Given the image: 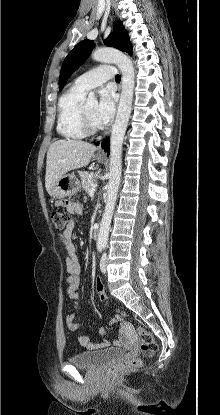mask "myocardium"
<instances>
[{"label": "myocardium", "mask_w": 220, "mask_h": 415, "mask_svg": "<svg viewBox=\"0 0 220 415\" xmlns=\"http://www.w3.org/2000/svg\"><path fill=\"white\" fill-rule=\"evenodd\" d=\"M79 122H80L81 129L85 133V135H95L100 130V126H93L91 124L85 111V103L81 104V107L79 110Z\"/></svg>", "instance_id": "f54148a6"}]
</instances>
